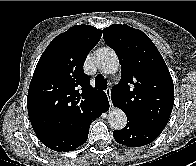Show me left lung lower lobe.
Masks as SVG:
<instances>
[{"label":"left lung lower lobe","mask_w":196,"mask_h":166,"mask_svg":"<svg viewBox=\"0 0 196 166\" xmlns=\"http://www.w3.org/2000/svg\"><path fill=\"white\" fill-rule=\"evenodd\" d=\"M161 132V130L140 125L136 121L128 119L127 125L122 130L113 132V137L119 144L138 147L151 143Z\"/></svg>","instance_id":"obj_1"}]
</instances>
